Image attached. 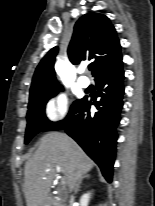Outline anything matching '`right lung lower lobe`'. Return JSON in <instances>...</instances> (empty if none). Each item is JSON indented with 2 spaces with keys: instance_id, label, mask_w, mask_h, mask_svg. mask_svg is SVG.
I'll return each mask as SVG.
<instances>
[{
  "instance_id": "right-lung-lower-lobe-1",
  "label": "right lung lower lobe",
  "mask_w": 155,
  "mask_h": 206,
  "mask_svg": "<svg viewBox=\"0 0 155 206\" xmlns=\"http://www.w3.org/2000/svg\"><path fill=\"white\" fill-rule=\"evenodd\" d=\"M123 79L121 58L112 69L95 79L98 95L101 97L96 104L99 111L91 114V103L83 98L65 120L52 129L65 130L98 164L108 182L112 181L117 141L116 127L120 122L123 106Z\"/></svg>"
}]
</instances>
